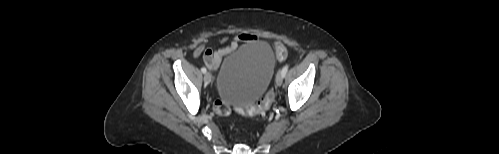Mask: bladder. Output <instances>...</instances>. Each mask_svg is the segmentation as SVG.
<instances>
[{
  "label": "bladder",
  "mask_w": 499,
  "mask_h": 154,
  "mask_svg": "<svg viewBox=\"0 0 499 154\" xmlns=\"http://www.w3.org/2000/svg\"><path fill=\"white\" fill-rule=\"evenodd\" d=\"M276 59L266 41L245 44L222 61L217 75V92L229 106L255 103L269 87Z\"/></svg>",
  "instance_id": "bladder-1"
}]
</instances>
